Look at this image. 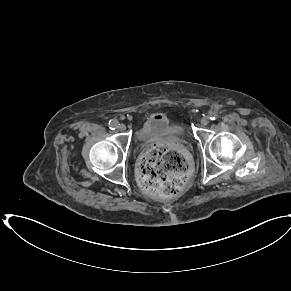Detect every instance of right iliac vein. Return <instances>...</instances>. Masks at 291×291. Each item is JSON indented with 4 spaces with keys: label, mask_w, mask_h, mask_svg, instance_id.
Returning a JSON list of instances; mask_svg holds the SVG:
<instances>
[{
    "label": "right iliac vein",
    "mask_w": 291,
    "mask_h": 291,
    "mask_svg": "<svg viewBox=\"0 0 291 291\" xmlns=\"http://www.w3.org/2000/svg\"><path fill=\"white\" fill-rule=\"evenodd\" d=\"M117 128L119 131H124L126 129V126L124 124H119Z\"/></svg>",
    "instance_id": "1"
}]
</instances>
